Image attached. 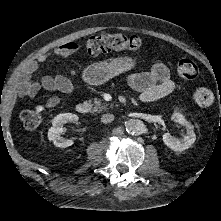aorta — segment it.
<instances>
[{"label": "aorta", "mask_w": 221, "mask_h": 221, "mask_svg": "<svg viewBox=\"0 0 221 221\" xmlns=\"http://www.w3.org/2000/svg\"><path fill=\"white\" fill-rule=\"evenodd\" d=\"M125 129L129 134L140 135L143 133L145 126L139 119H129L125 123Z\"/></svg>", "instance_id": "762f6f07"}]
</instances>
